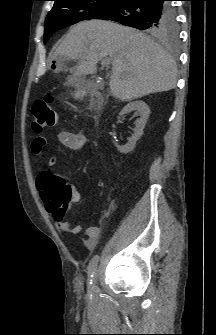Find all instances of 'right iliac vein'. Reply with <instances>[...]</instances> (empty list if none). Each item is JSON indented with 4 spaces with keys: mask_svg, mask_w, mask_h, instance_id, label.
Segmentation results:
<instances>
[{
    "mask_svg": "<svg viewBox=\"0 0 216 335\" xmlns=\"http://www.w3.org/2000/svg\"><path fill=\"white\" fill-rule=\"evenodd\" d=\"M97 274L95 273L93 281L96 282Z\"/></svg>",
    "mask_w": 216,
    "mask_h": 335,
    "instance_id": "right-iliac-vein-1",
    "label": "right iliac vein"
}]
</instances>
